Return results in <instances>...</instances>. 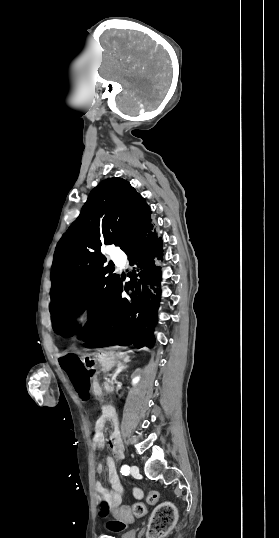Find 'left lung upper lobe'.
<instances>
[{
	"label": "left lung upper lobe",
	"instance_id": "5c2ea615",
	"mask_svg": "<svg viewBox=\"0 0 279 538\" xmlns=\"http://www.w3.org/2000/svg\"><path fill=\"white\" fill-rule=\"evenodd\" d=\"M150 213L145 199L121 178L106 179L91 191L54 253L50 312L57 334L77 330L71 320L85 309L89 321L79 333L82 336L95 334L106 322L121 281L103 266L100 248L115 244L127 251L152 225Z\"/></svg>",
	"mask_w": 279,
	"mask_h": 538
}]
</instances>
